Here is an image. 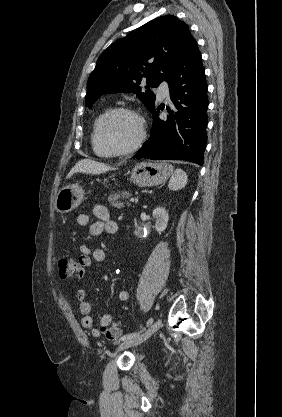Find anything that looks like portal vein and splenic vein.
I'll return each mask as SVG.
<instances>
[{"label": "portal vein and splenic vein", "mask_w": 282, "mask_h": 417, "mask_svg": "<svg viewBox=\"0 0 282 417\" xmlns=\"http://www.w3.org/2000/svg\"><path fill=\"white\" fill-rule=\"evenodd\" d=\"M131 202L132 203H136L137 202V199L136 198H131Z\"/></svg>", "instance_id": "portal-vein-and-splenic-vein-1"}]
</instances>
